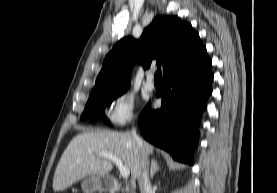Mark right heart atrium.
<instances>
[{
    "label": "right heart atrium",
    "instance_id": "1",
    "mask_svg": "<svg viewBox=\"0 0 277 193\" xmlns=\"http://www.w3.org/2000/svg\"><path fill=\"white\" fill-rule=\"evenodd\" d=\"M136 101L128 91L117 93L111 100L106 120L112 126H122L135 118Z\"/></svg>",
    "mask_w": 277,
    "mask_h": 193
}]
</instances>
